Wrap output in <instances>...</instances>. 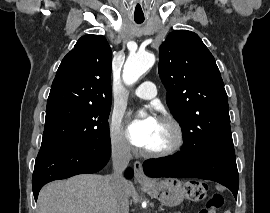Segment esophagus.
<instances>
[{"label":"esophagus","instance_id":"obj_1","mask_svg":"<svg viewBox=\"0 0 270 213\" xmlns=\"http://www.w3.org/2000/svg\"><path fill=\"white\" fill-rule=\"evenodd\" d=\"M133 167H134V177L138 182H141V183L150 182V180L146 177L143 171V166L140 161H135Z\"/></svg>","mask_w":270,"mask_h":213}]
</instances>
